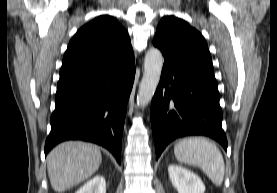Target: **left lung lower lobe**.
I'll return each mask as SVG.
<instances>
[{"mask_svg": "<svg viewBox=\"0 0 277 193\" xmlns=\"http://www.w3.org/2000/svg\"><path fill=\"white\" fill-rule=\"evenodd\" d=\"M214 69L164 59L160 83L151 103L156 159L173 140L205 135L227 150Z\"/></svg>", "mask_w": 277, "mask_h": 193, "instance_id": "1", "label": "left lung lower lobe"}]
</instances>
